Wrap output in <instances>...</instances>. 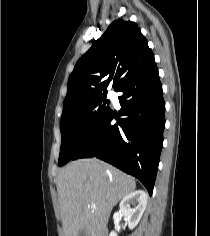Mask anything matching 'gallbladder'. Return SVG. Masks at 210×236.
I'll use <instances>...</instances> for the list:
<instances>
[{"instance_id": "bac80fb5", "label": "gallbladder", "mask_w": 210, "mask_h": 236, "mask_svg": "<svg viewBox=\"0 0 210 236\" xmlns=\"http://www.w3.org/2000/svg\"><path fill=\"white\" fill-rule=\"evenodd\" d=\"M78 236H87V235H86L85 231L82 230V231H80V233L78 234Z\"/></svg>"}]
</instances>
